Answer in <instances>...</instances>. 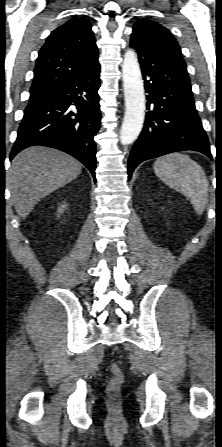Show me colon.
<instances>
[{
    "label": "colon",
    "mask_w": 222,
    "mask_h": 447,
    "mask_svg": "<svg viewBox=\"0 0 222 447\" xmlns=\"http://www.w3.org/2000/svg\"><path fill=\"white\" fill-rule=\"evenodd\" d=\"M112 378L107 385V396L109 399L116 401L121 395V386L123 383V373L117 365L111 366Z\"/></svg>",
    "instance_id": "5ec220e1"
}]
</instances>
